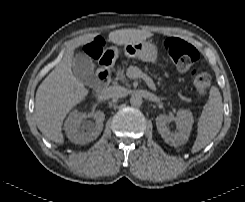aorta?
I'll return each instance as SVG.
<instances>
[{
  "label": "aorta",
  "mask_w": 245,
  "mask_h": 202,
  "mask_svg": "<svg viewBox=\"0 0 245 202\" xmlns=\"http://www.w3.org/2000/svg\"><path fill=\"white\" fill-rule=\"evenodd\" d=\"M143 100L141 95L133 94L130 98V104L135 107H139L142 104Z\"/></svg>",
  "instance_id": "obj_1"
}]
</instances>
